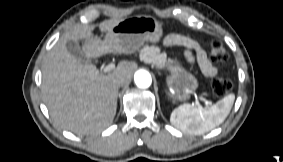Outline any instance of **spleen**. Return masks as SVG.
Segmentation results:
<instances>
[{
  "label": "spleen",
  "mask_w": 283,
  "mask_h": 162,
  "mask_svg": "<svg viewBox=\"0 0 283 162\" xmlns=\"http://www.w3.org/2000/svg\"><path fill=\"white\" fill-rule=\"evenodd\" d=\"M234 100L235 95L231 93L216 104L206 108H196L190 104L180 105L172 111L170 122L178 129L189 134H204L225 121Z\"/></svg>",
  "instance_id": "spleen-1"
}]
</instances>
